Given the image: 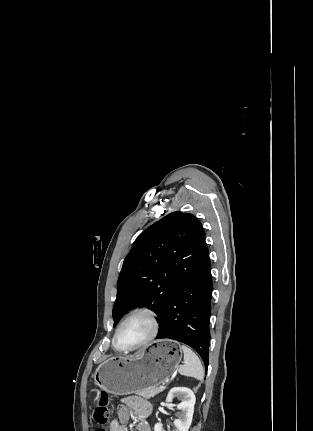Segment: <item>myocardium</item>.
<instances>
[{"instance_id": "1", "label": "myocardium", "mask_w": 313, "mask_h": 431, "mask_svg": "<svg viewBox=\"0 0 313 431\" xmlns=\"http://www.w3.org/2000/svg\"><path fill=\"white\" fill-rule=\"evenodd\" d=\"M137 316H145L148 318V320L150 321L151 326H152L151 332H150L149 336L144 341H142L141 343H139L133 347H130V348H121L117 342L118 334H119L121 328L129 320H131L132 318L137 317ZM159 330H160V321H159L157 314L149 308H138V309L133 310L119 324V326L117 327V329L115 331L114 337H113V345H114L115 349L119 352H132V351L141 349V348L147 346L148 344H150L157 337Z\"/></svg>"}]
</instances>
